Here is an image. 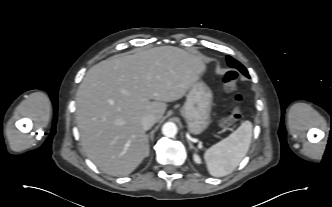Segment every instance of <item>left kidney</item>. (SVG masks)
Instances as JSON below:
<instances>
[{"label": "left kidney", "instance_id": "1", "mask_svg": "<svg viewBox=\"0 0 332 207\" xmlns=\"http://www.w3.org/2000/svg\"><path fill=\"white\" fill-rule=\"evenodd\" d=\"M193 160L195 161V163L200 164L201 163V158L198 154L194 153L193 154Z\"/></svg>", "mask_w": 332, "mask_h": 207}]
</instances>
